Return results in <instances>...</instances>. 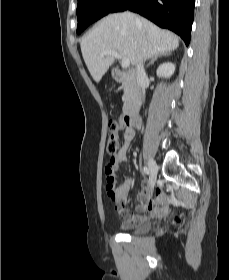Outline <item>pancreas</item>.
<instances>
[{
	"label": "pancreas",
	"mask_w": 229,
	"mask_h": 280,
	"mask_svg": "<svg viewBox=\"0 0 229 280\" xmlns=\"http://www.w3.org/2000/svg\"><path fill=\"white\" fill-rule=\"evenodd\" d=\"M123 89H124V95H123V100L126 101L131 97V86L128 83H123Z\"/></svg>",
	"instance_id": "cf45deb5"
}]
</instances>
